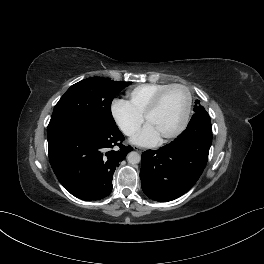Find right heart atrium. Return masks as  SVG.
I'll return each mask as SVG.
<instances>
[{
    "label": "right heart atrium",
    "instance_id": "obj_1",
    "mask_svg": "<svg viewBox=\"0 0 264 264\" xmlns=\"http://www.w3.org/2000/svg\"><path fill=\"white\" fill-rule=\"evenodd\" d=\"M112 118L126 136L134 135L143 122V116L137 113L126 100L115 99L111 104Z\"/></svg>",
    "mask_w": 264,
    "mask_h": 264
}]
</instances>
